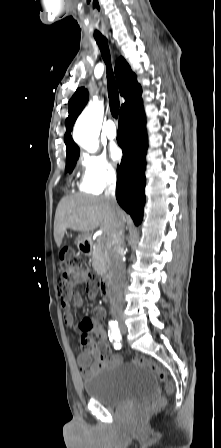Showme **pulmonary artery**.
Segmentation results:
<instances>
[{
    "label": "pulmonary artery",
    "instance_id": "e3ab8cb5",
    "mask_svg": "<svg viewBox=\"0 0 221 448\" xmlns=\"http://www.w3.org/2000/svg\"><path fill=\"white\" fill-rule=\"evenodd\" d=\"M105 134L108 139L113 140L117 136V128L113 121H108L105 125Z\"/></svg>",
    "mask_w": 221,
    "mask_h": 448
}]
</instances>
